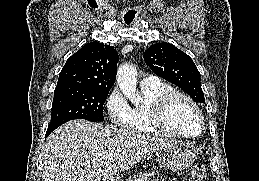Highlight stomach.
Masks as SVG:
<instances>
[{
    "mask_svg": "<svg viewBox=\"0 0 259 181\" xmlns=\"http://www.w3.org/2000/svg\"><path fill=\"white\" fill-rule=\"evenodd\" d=\"M156 161L166 169L179 171L190 167L194 161V156L190 150L172 142L170 146L157 153Z\"/></svg>",
    "mask_w": 259,
    "mask_h": 181,
    "instance_id": "stomach-1",
    "label": "stomach"
}]
</instances>
